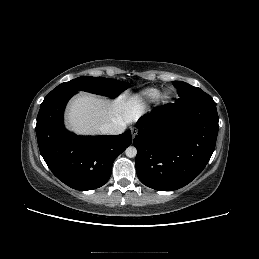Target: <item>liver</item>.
<instances>
[{"instance_id": "1", "label": "liver", "mask_w": 259, "mask_h": 259, "mask_svg": "<svg viewBox=\"0 0 259 259\" xmlns=\"http://www.w3.org/2000/svg\"><path fill=\"white\" fill-rule=\"evenodd\" d=\"M145 105L139 96L124 93L113 101L82 93L75 96L66 111L67 127L80 135H92L100 127L115 119L125 123L135 122L143 114Z\"/></svg>"}]
</instances>
